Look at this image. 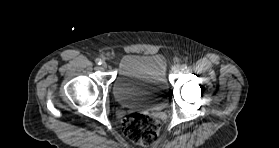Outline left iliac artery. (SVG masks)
<instances>
[{"instance_id":"obj_1","label":"left iliac artery","mask_w":279,"mask_h":148,"mask_svg":"<svg viewBox=\"0 0 279 148\" xmlns=\"http://www.w3.org/2000/svg\"><path fill=\"white\" fill-rule=\"evenodd\" d=\"M187 68V65L186 64H183L182 65V70H185Z\"/></svg>"}]
</instances>
